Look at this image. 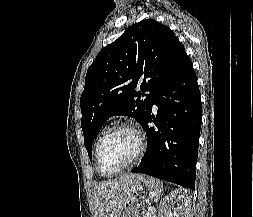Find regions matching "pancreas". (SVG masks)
Wrapping results in <instances>:
<instances>
[{"instance_id": "1", "label": "pancreas", "mask_w": 253, "mask_h": 217, "mask_svg": "<svg viewBox=\"0 0 253 217\" xmlns=\"http://www.w3.org/2000/svg\"><path fill=\"white\" fill-rule=\"evenodd\" d=\"M150 208L151 207H149L147 211L142 214L141 217H156V212H152Z\"/></svg>"}]
</instances>
